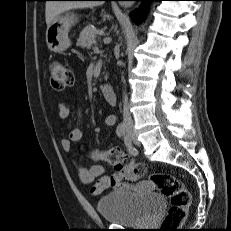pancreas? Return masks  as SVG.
I'll list each match as a JSON object with an SVG mask.
<instances>
[{
	"label": "pancreas",
	"instance_id": "obj_1",
	"mask_svg": "<svg viewBox=\"0 0 231 231\" xmlns=\"http://www.w3.org/2000/svg\"><path fill=\"white\" fill-rule=\"evenodd\" d=\"M96 38L97 35L95 31L91 27L87 26L81 31L76 45L82 48L90 49L92 45L97 43Z\"/></svg>",
	"mask_w": 231,
	"mask_h": 231
}]
</instances>
